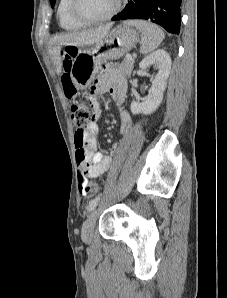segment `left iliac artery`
<instances>
[{"instance_id":"left-iliac-artery-1","label":"left iliac artery","mask_w":227,"mask_h":298,"mask_svg":"<svg viewBox=\"0 0 227 298\" xmlns=\"http://www.w3.org/2000/svg\"><path fill=\"white\" fill-rule=\"evenodd\" d=\"M100 200V197H96L93 200L90 201L89 206H88V211H92L98 204Z\"/></svg>"}]
</instances>
